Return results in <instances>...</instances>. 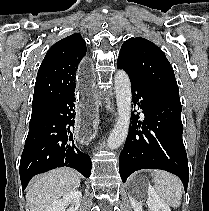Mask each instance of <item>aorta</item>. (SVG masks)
I'll use <instances>...</instances> for the list:
<instances>
[{
    "mask_svg": "<svg viewBox=\"0 0 209 211\" xmlns=\"http://www.w3.org/2000/svg\"><path fill=\"white\" fill-rule=\"evenodd\" d=\"M114 79L118 118L108 137L107 146L110 149L119 148L125 141L131 118L132 93L129 76L125 71L119 70Z\"/></svg>",
    "mask_w": 209,
    "mask_h": 211,
    "instance_id": "aorta-1",
    "label": "aorta"
}]
</instances>
